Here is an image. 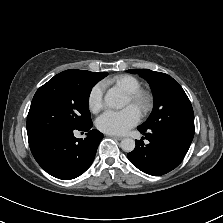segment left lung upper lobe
<instances>
[{"instance_id":"5c2ea615","label":"left lung upper lobe","mask_w":223,"mask_h":223,"mask_svg":"<svg viewBox=\"0 0 223 223\" xmlns=\"http://www.w3.org/2000/svg\"><path fill=\"white\" fill-rule=\"evenodd\" d=\"M150 84L154 108L142 129L169 128L194 134V112L182 87L169 75L149 69H131Z\"/></svg>"}]
</instances>
